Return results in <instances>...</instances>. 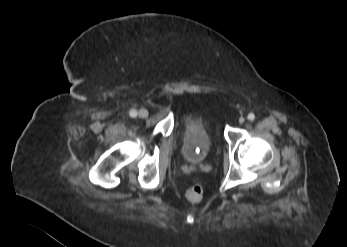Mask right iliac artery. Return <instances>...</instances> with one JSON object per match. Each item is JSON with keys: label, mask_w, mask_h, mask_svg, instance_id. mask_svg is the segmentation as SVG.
<instances>
[{"label": "right iliac artery", "mask_w": 347, "mask_h": 247, "mask_svg": "<svg viewBox=\"0 0 347 247\" xmlns=\"http://www.w3.org/2000/svg\"><path fill=\"white\" fill-rule=\"evenodd\" d=\"M130 117H136L137 115V110L136 109H131L129 112Z\"/></svg>", "instance_id": "obj_1"}]
</instances>
